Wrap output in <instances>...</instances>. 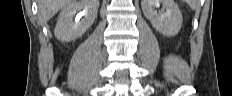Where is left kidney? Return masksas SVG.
I'll use <instances>...</instances> for the list:
<instances>
[{
	"label": "left kidney",
	"mask_w": 232,
	"mask_h": 96,
	"mask_svg": "<svg viewBox=\"0 0 232 96\" xmlns=\"http://www.w3.org/2000/svg\"><path fill=\"white\" fill-rule=\"evenodd\" d=\"M162 5V10L156 8ZM141 7L152 26L165 36L176 35L183 22L181 11L174 0H142Z\"/></svg>",
	"instance_id": "obj_1"
}]
</instances>
